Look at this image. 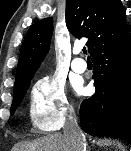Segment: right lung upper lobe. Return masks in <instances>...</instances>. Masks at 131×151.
I'll return each mask as SVG.
<instances>
[{"instance_id": "cb5924a9", "label": "right lung upper lobe", "mask_w": 131, "mask_h": 151, "mask_svg": "<svg viewBox=\"0 0 131 151\" xmlns=\"http://www.w3.org/2000/svg\"><path fill=\"white\" fill-rule=\"evenodd\" d=\"M120 0H67L66 25L77 38L87 37L88 52L130 30ZM52 18L33 24L23 41L14 90L28 84L50 48Z\"/></svg>"}]
</instances>
